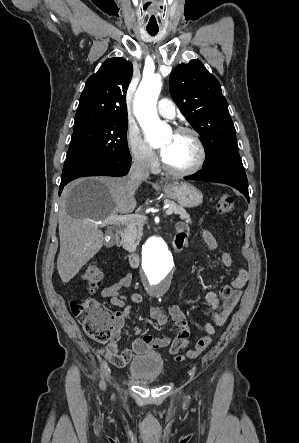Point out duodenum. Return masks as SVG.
Returning <instances> with one entry per match:
<instances>
[{
	"mask_svg": "<svg viewBox=\"0 0 299 443\" xmlns=\"http://www.w3.org/2000/svg\"><path fill=\"white\" fill-rule=\"evenodd\" d=\"M116 239L117 241L120 243L123 239V231L122 230H118L116 233ZM185 247V242L183 241H179L177 239L174 240L173 243V250L176 253L181 252ZM139 262H140V257L136 252H131L129 254V264L132 268H137L139 266Z\"/></svg>",
	"mask_w": 299,
	"mask_h": 443,
	"instance_id": "410a0bca",
	"label": "duodenum"
}]
</instances>
